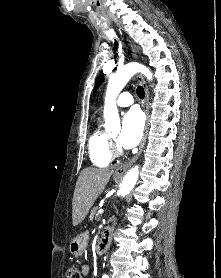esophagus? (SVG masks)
Returning a JSON list of instances; mask_svg holds the SVG:
<instances>
[{
	"label": "esophagus",
	"mask_w": 221,
	"mask_h": 278,
	"mask_svg": "<svg viewBox=\"0 0 221 278\" xmlns=\"http://www.w3.org/2000/svg\"><path fill=\"white\" fill-rule=\"evenodd\" d=\"M132 47V50H133V55L135 58H137V54H136V50L135 48ZM139 81L142 83L143 87H144V90H145V98H144V101H143V109L146 113V116H147V122L145 124V130H144V135H143V138H142V141H141V144H140V147H139V150L137 152V154L127 163L119 166L115 172H114V175L116 176H123L127 171L128 169L132 166V164L137 160V158L140 156L143 148H144V145H145V142H146V138H147V132H148V120H149V91H148V87H147V84L143 78L142 75H139Z\"/></svg>",
	"instance_id": "1"
}]
</instances>
